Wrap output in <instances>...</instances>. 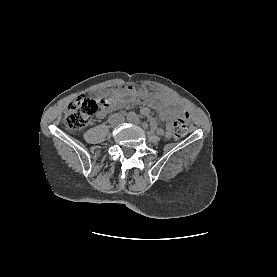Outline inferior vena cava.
Returning a JSON list of instances; mask_svg holds the SVG:
<instances>
[{"instance_id": "obj_1", "label": "inferior vena cava", "mask_w": 277, "mask_h": 277, "mask_svg": "<svg viewBox=\"0 0 277 277\" xmlns=\"http://www.w3.org/2000/svg\"><path fill=\"white\" fill-rule=\"evenodd\" d=\"M123 121H124V117L120 116V117H119V122H118V124H119V123H122Z\"/></svg>"}]
</instances>
